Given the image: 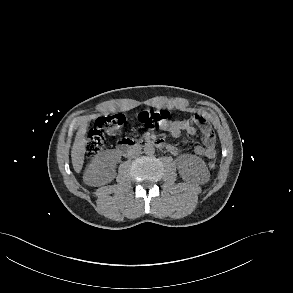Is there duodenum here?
<instances>
[{"instance_id": "obj_1", "label": "duodenum", "mask_w": 293, "mask_h": 293, "mask_svg": "<svg viewBox=\"0 0 293 293\" xmlns=\"http://www.w3.org/2000/svg\"><path fill=\"white\" fill-rule=\"evenodd\" d=\"M144 147H156V148H164L165 143L161 139L157 138H145L142 141H134L129 138L121 139L117 143V150L120 154L124 156H129L133 154L135 151H137L140 148Z\"/></svg>"}]
</instances>
